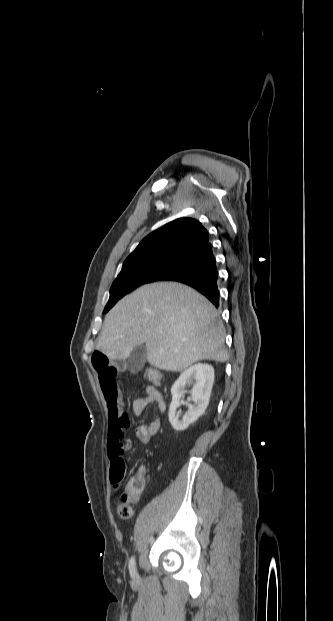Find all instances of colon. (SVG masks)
Here are the masks:
<instances>
[{"label": "colon", "instance_id": "obj_1", "mask_svg": "<svg viewBox=\"0 0 333 621\" xmlns=\"http://www.w3.org/2000/svg\"><path fill=\"white\" fill-rule=\"evenodd\" d=\"M145 377L152 385H158L161 381L160 372L149 367L145 370ZM126 465L117 462L110 468V481L114 488L122 486L125 480ZM146 468L139 467L126 481L118 503V515L122 519H129L133 514L132 504L137 501L146 486Z\"/></svg>", "mask_w": 333, "mask_h": 621}]
</instances>
